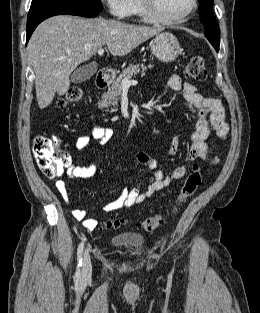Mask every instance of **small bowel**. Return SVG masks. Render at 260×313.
<instances>
[{
    "instance_id": "obj_1",
    "label": "small bowel",
    "mask_w": 260,
    "mask_h": 313,
    "mask_svg": "<svg viewBox=\"0 0 260 313\" xmlns=\"http://www.w3.org/2000/svg\"><path fill=\"white\" fill-rule=\"evenodd\" d=\"M167 85L173 91L182 93L188 108L196 118L195 130L187 136L189 151L186 160L189 162L198 158L207 160L209 157L205 140L208 138L210 131H214L220 139H225L229 132L228 125L225 122V109L221 100L218 98L202 96L197 93L196 87L193 84L183 82L178 75L170 76ZM88 120L91 125L92 136L94 139L99 144H106L113 136V129L100 125L94 114H91L88 117ZM180 142V137L175 138L168 148V153H174ZM88 143L89 136L86 134L80 135L75 142V148L78 151H81L86 148ZM134 159L139 164L152 171L150 184L143 191L140 190L138 185L124 189L116 199L108 202L104 206L105 211H115L121 208L130 207L134 204L142 203L156 192L170 186L174 181L183 178L187 172L186 166L180 165L175 167L170 174L164 175L162 171L157 169L156 160L150 154L143 151L136 152L134 154ZM97 169L98 167L96 163L82 166L72 162L71 157H68L67 175L71 179L90 178L96 174ZM55 185L62 199L70 205L71 201L65 183L62 180H57ZM71 214L74 219L81 221L86 229L94 230L97 227V221L95 219L87 218L85 210L72 208Z\"/></svg>"
}]
</instances>
